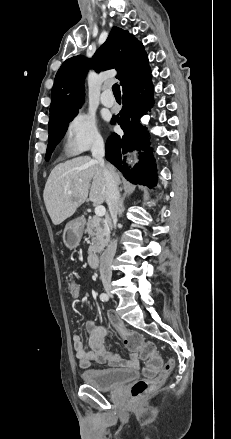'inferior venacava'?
Returning a JSON list of instances; mask_svg holds the SVG:
<instances>
[{
	"instance_id": "602c4592",
	"label": "inferior vena cava",
	"mask_w": 231,
	"mask_h": 439,
	"mask_svg": "<svg viewBox=\"0 0 231 439\" xmlns=\"http://www.w3.org/2000/svg\"><path fill=\"white\" fill-rule=\"evenodd\" d=\"M92 156L103 168L104 179L106 184V202L113 220V226H116L117 215L120 209V194L118 190L119 179L115 175L113 167L104 162L105 147L102 140L95 141L91 149ZM117 243L111 240L100 258V278L104 281H110L112 277V261L116 252Z\"/></svg>"
}]
</instances>
